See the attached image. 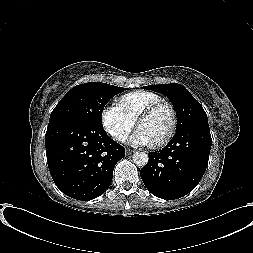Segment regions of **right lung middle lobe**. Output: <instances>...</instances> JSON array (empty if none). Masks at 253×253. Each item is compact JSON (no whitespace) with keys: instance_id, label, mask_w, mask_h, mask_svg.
Returning <instances> with one entry per match:
<instances>
[{"instance_id":"obj_1","label":"right lung middle lobe","mask_w":253,"mask_h":253,"mask_svg":"<svg viewBox=\"0 0 253 253\" xmlns=\"http://www.w3.org/2000/svg\"><path fill=\"white\" fill-rule=\"evenodd\" d=\"M124 88L90 82L73 87L51 113L49 124L61 120H80L102 126V112L107 102Z\"/></svg>"}]
</instances>
